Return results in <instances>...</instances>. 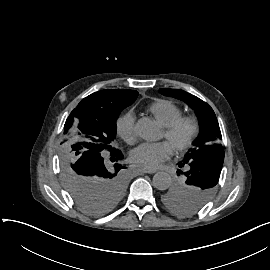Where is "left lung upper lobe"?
<instances>
[{"label":"left lung upper lobe","instance_id":"left-lung-upper-lobe-1","mask_svg":"<svg viewBox=\"0 0 270 270\" xmlns=\"http://www.w3.org/2000/svg\"><path fill=\"white\" fill-rule=\"evenodd\" d=\"M165 96L184 101L196 113L199 134L193 147L178 163L174 183L161 192V203L171 212L184 216H194L211 200L218 183L224 151L220 143L221 131L213 109L203 100L181 89H159Z\"/></svg>","mask_w":270,"mask_h":270}]
</instances>
